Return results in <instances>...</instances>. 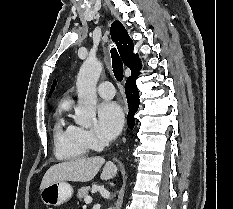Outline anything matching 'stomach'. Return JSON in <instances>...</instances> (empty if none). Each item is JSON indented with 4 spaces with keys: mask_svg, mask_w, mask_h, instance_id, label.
<instances>
[{
    "mask_svg": "<svg viewBox=\"0 0 233 209\" xmlns=\"http://www.w3.org/2000/svg\"><path fill=\"white\" fill-rule=\"evenodd\" d=\"M73 195L72 186L65 182H54L41 190L40 197L44 204L60 206L71 199Z\"/></svg>",
    "mask_w": 233,
    "mask_h": 209,
    "instance_id": "0dacf381",
    "label": "stomach"
}]
</instances>
